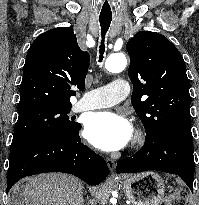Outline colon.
<instances>
[{
    "label": "colon",
    "mask_w": 199,
    "mask_h": 205,
    "mask_svg": "<svg viewBox=\"0 0 199 205\" xmlns=\"http://www.w3.org/2000/svg\"><path fill=\"white\" fill-rule=\"evenodd\" d=\"M186 198L183 189H175L170 195L164 198L161 205H180Z\"/></svg>",
    "instance_id": "5ec220e1"
}]
</instances>
